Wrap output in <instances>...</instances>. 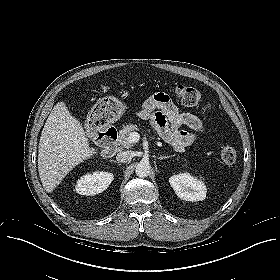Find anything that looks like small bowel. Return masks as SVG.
I'll return each instance as SVG.
<instances>
[{
	"label": "small bowel",
	"mask_w": 280,
	"mask_h": 280,
	"mask_svg": "<svg viewBox=\"0 0 280 280\" xmlns=\"http://www.w3.org/2000/svg\"><path fill=\"white\" fill-rule=\"evenodd\" d=\"M138 116L150 120L157 133L177 151L183 152L205 131L202 120L192 113L180 112L170 97L158 93L149 97ZM187 126L192 132L182 129Z\"/></svg>",
	"instance_id": "1"
}]
</instances>
